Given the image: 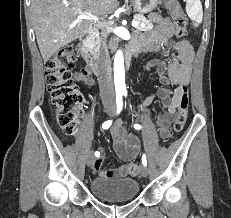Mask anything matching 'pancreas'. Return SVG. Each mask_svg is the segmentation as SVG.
<instances>
[{
  "mask_svg": "<svg viewBox=\"0 0 231 218\" xmlns=\"http://www.w3.org/2000/svg\"><path fill=\"white\" fill-rule=\"evenodd\" d=\"M134 19L139 23V25L137 26V29L139 31H149L154 27L153 24L149 20H147L143 14L135 15ZM99 42H100V37L98 36L96 39V43L98 44Z\"/></svg>",
  "mask_w": 231,
  "mask_h": 218,
  "instance_id": "1",
  "label": "pancreas"
}]
</instances>
